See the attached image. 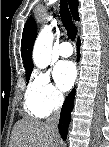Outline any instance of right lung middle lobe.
Wrapping results in <instances>:
<instances>
[{
  "mask_svg": "<svg viewBox=\"0 0 109 147\" xmlns=\"http://www.w3.org/2000/svg\"><path fill=\"white\" fill-rule=\"evenodd\" d=\"M30 74H31V72H29V73L26 74V80H27V82L29 81Z\"/></svg>",
  "mask_w": 109,
  "mask_h": 147,
  "instance_id": "1",
  "label": "right lung middle lobe"
}]
</instances>
